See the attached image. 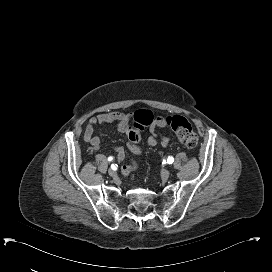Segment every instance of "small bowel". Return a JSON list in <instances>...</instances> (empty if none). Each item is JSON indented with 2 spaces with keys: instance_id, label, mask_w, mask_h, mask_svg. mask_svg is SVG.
<instances>
[{
  "instance_id": "c3829d8e",
  "label": "small bowel",
  "mask_w": 272,
  "mask_h": 272,
  "mask_svg": "<svg viewBox=\"0 0 272 272\" xmlns=\"http://www.w3.org/2000/svg\"><path fill=\"white\" fill-rule=\"evenodd\" d=\"M162 117L156 118L149 126L151 136L148 138L147 144L149 146L160 145L162 148H167L170 144V138L166 135L158 133V129L165 126ZM114 123L118 132L130 134L132 128L129 125V116L119 111H112L107 113H100L89 119L84 131V140L92 146L94 150H99L101 147V139L95 136L94 127L97 124ZM130 148L135 153H141L142 148L137 144H131ZM113 150L117 154L118 161H122L124 158V149L121 146H114ZM134 166H123L122 172L127 173L132 170Z\"/></svg>"
}]
</instances>
